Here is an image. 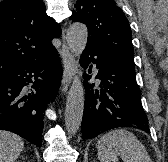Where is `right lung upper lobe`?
<instances>
[{"instance_id": "right-lung-upper-lobe-1", "label": "right lung upper lobe", "mask_w": 168, "mask_h": 162, "mask_svg": "<svg viewBox=\"0 0 168 162\" xmlns=\"http://www.w3.org/2000/svg\"><path fill=\"white\" fill-rule=\"evenodd\" d=\"M60 34V26L46 14L43 1H1L0 76L46 58L55 50L51 39Z\"/></svg>"}]
</instances>
